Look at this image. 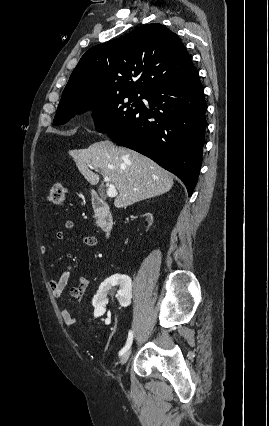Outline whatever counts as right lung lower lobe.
<instances>
[{
	"instance_id": "obj_1",
	"label": "right lung lower lobe",
	"mask_w": 269,
	"mask_h": 426,
	"mask_svg": "<svg viewBox=\"0 0 269 426\" xmlns=\"http://www.w3.org/2000/svg\"><path fill=\"white\" fill-rule=\"evenodd\" d=\"M149 102L119 127L107 132L177 175L191 195L202 163L207 125L204 90L195 67L145 93Z\"/></svg>"
}]
</instances>
